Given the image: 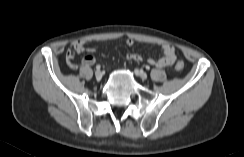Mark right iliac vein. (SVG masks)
I'll list each match as a JSON object with an SVG mask.
<instances>
[{
    "label": "right iliac vein",
    "mask_w": 244,
    "mask_h": 157,
    "mask_svg": "<svg viewBox=\"0 0 244 157\" xmlns=\"http://www.w3.org/2000/svg\"><path fill=\"white\" fill-rule=\"evenodd\" d=\"M102 76H103V74L101 71L98 70L95 72V77L98 81L101 80Z\"/></svg>",
    "instance_id": "1"
}]
</instances>
